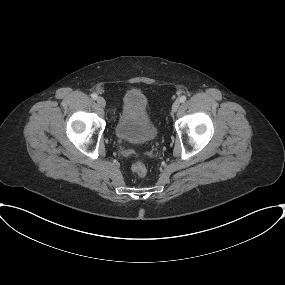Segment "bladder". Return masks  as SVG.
I'll return each instance as SVG.
<instances>
[{
  "label": "bladder",
  "mask_w": 285,
  "mask_h": 285,
  "mask_svg": "<svg viewBox=\"0 0 285 285\" xmlns=\"http://www.w3.org/2000/svg\"><path fill=\"white\" fill-rule=\"evenodd\" d=\"M114 131L118 139L132 144L143 145L156 140L158 129L141 90L131 89L124 94Z\"/></svg>",
  "instance_id": "31cf9c89"
}]
</instances>
